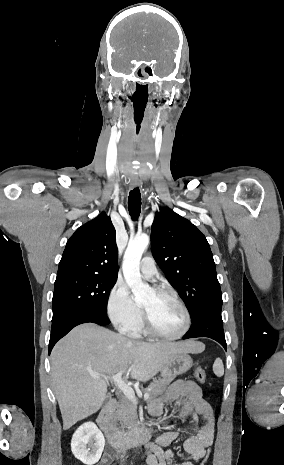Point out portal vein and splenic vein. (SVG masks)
Listing matches in <instances>:
<instances>
[{
	"label": "portal vein and splenic vein",
	"instance_id": "18ae733b",
	"mask_svg": "<svg viewBox=\"0 0 284 465\" xmlns=\"http://www.w3.org/2000/svg\"><path fill=\"white\" fill-rule=\"evenodd\" d=\"M123 373L124 371H119V373H116V375H111V377H108V379H112L115 385H118L119 389H121L122 393H124L125 397H127L131 403L138 405V399H136L133 389H131L130 385H126V383L122 381ZM90 377H93V379H101V377H105V379H107L106 375H90ZM149 397V393H145L144 401H147Z\"/></svg>",
	"mask_w": 284,
	"mask_h": 465
}]
</instances>
